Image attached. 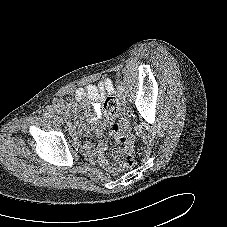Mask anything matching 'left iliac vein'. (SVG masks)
<instances>
[{"label":"left iliac vein","mask_w":227,"mask_h":227,"mask_svg":"<svg viewBox=\"0 0 227 227\" xmlns=\"http://www.w3.org/2000/svg\"><path fill=\"white\" fill-rule=\"evenodd\" d=\"M119 97H120L121 103H122L123 105H126V104H127L126 97H125L124 95H122V94H120Z\"/></svg>","instance_id":"4c4485c4"}]
</instances>
